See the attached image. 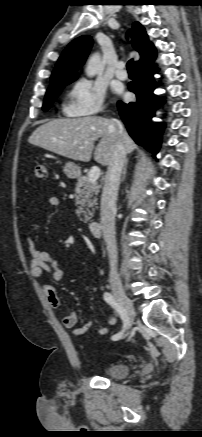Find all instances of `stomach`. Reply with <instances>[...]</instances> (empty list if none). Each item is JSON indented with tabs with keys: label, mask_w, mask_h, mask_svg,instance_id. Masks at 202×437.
<instances>
[{
	"label": "stomach",
	"mask_w": 202,
	"mask_h": 437,
	"mask_svg": "<svg viewBox=\"0 0 202 437\" xmlns=\"http://www.w3.org/2000/svg\"><path fill=\"white\" fill-rule=\"evenodd\" d=\"M63 172L68 178H76L80 175V167L73 162H67L63 167Z\"/></svg>",
	"instance_id": "0dacf381"
}]
</instances>
